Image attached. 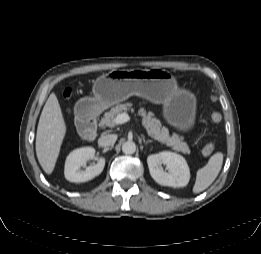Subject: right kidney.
Segmentation results:
<instances>
[{"label": "right kidney", "instance_id": "right-kidney-1", "mask_svg": "<svg viewBox=\"0 0 261 254\" xmlns=\"http://www.w3.org/2000/svg\"><path fill=\"white\" fill-rule=\"evenodd\" d=\"M94 155L95 149L92 147H82L72 151L65 161V178L70 182L80 183L98 176L105 166V159L103 157L99 158L97 164L90 165L85 170H81V167L85 166L86 162L92 159Z\"/></svg>", "mask_w": 261, "mask_h": 254}]
</instances>
